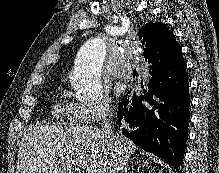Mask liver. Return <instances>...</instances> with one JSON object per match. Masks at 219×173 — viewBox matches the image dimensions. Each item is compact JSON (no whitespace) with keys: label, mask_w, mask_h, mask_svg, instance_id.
Returning <instances> with one entry per match:
<instances>
[{"label":"liver","mask_w":219,"mask_h":173,"mask_svg":"<svg viewBox=\"0 0 219 173\" xmlns=\"http://www.w3.org/2000/svg\"><path fill=\"white\" fill-rule=\"evenodd\" d=\"M137 149L120 132L107 142L99 128L38 125L19 144L16 173H73L74 163L87 173H106L112 162L126 165Z\"/></svg>","instance_id":"1"}]
</instances>
